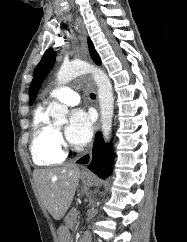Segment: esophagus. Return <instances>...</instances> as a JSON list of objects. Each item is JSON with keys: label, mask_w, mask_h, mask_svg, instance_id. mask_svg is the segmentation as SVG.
Returning <instances> with one entry per match:
<instances>
[{"label": "esophagus", "mask_w": 187, "mask_h": 242, "mask_svg": "<svg viewBox=\"0 0 187 242\" xmlns=\"http://www.w3.org/2000/svg\"><path fill=\"white\" fill-rule=\"evenodd\" d=\"M75 21H76V27L79 33V39H80L82 51L85 56H88L89 50H88L87 33L85 30V27L80 17L76 16Z\"/></svg>", "instance_id": "34e87169"}]
</instances>
